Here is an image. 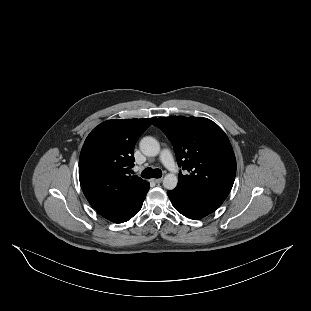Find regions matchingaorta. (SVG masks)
Returning a JSON list of instances; mask_svg holds the SVG:
<instances>
[{
    "instance_id": "obj_1",
    "label": "aorta",
    "mask_w": 311,
    "mask_h": 311,
    "mask_svg": "<svg viewBox=\"0 0 311 311\" xmlns=\"http://www.w3.org/2000/svg\"><path fill=\"white\" fill-rule=\"evenodd\" d=\"M141 152L148 157H155L160 152L159 142L151 136H146L139 143ZM178 183V178L175 174L169 173L163 179V186L168 190H173Z\"/></svg>"
}]
</instances>
